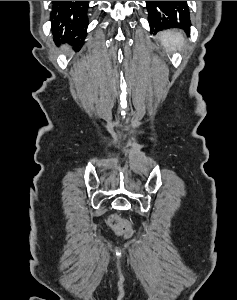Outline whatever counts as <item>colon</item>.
Masks as SVG:
<instances>
[{"label":"colon","instance_id":"1","mask_svg":"<svg viewBox=\"0 0 237 300\" xmlns=\"http://www.w3.org/2000/svg\"><path fill=\"white\" fill-rule=\"evenodd\" d=\"M109 224L117 233L129 235L131 232L130 223L117 215L110 217Z\"/></svg>","mask_w":237,"mask_h":300}]
</instances>
